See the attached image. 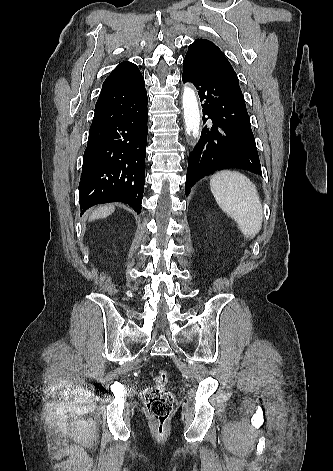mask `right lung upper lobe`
Listing matches in <instances>:
<instances>
[{"instance_id": "1", "label": "right lung upper lobe", "mask_w": 333, "mask_h": 471, "mask_svg": "<svg viewBox=\"0 0 333 471\" xmlns=\"http://www.w3.org/2000/svg\"><path fill=\"white\" fill-rule=\"evenodd\" d=\"M138 67L128 61L120 63L106 78L102 90L126 84L132 76L139 73Z\"/></svg>"}]
</instances>
